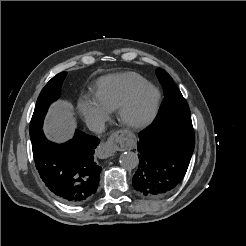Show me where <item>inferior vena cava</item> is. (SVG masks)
Wrapping results in <instances>:
<instances>
[{
    "mask_svg": "<svg viewBox=\"0 0 246 246\" xmlns=\"http://www.w3.org/2000/svg\"><path fill=\"white\" fill-rule=\"evenodd\" d=\"M87 127L95 133H102L105 130V122L101 118L87 119Z\"/></svg>",
    "mask_w": 246,
    "mask_h": 246,
    "instance_id": "1",
    "label": "inferior vena cava"
}]
</instances>
